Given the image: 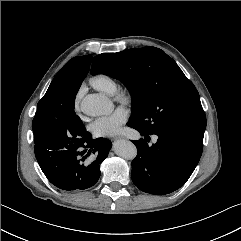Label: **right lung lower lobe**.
<instances>
[{"label":"right lung lower lobe","mask_w":241,"mask_h":241,"mask_svg":"<svg viewBox=\"0 0 241 241\" xmlns=\"http://www.w3.org/2000/svg\"><path fill=\"white\" fill-rule=\"evenodd\" d=\"M35 156L47 179L56 187L72 191L92 187L100 177V164L107 158L111 142L106 138L92 139L91 134L78 146L53 150L36 136ZM90 156L89 160H86Z\"/></svg>","instance_id":"98d812e1"}]
</instances>
